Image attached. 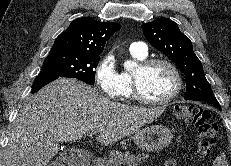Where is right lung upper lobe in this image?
<instances>
[{
    "instance_id": "1",
    "label": "right lung upper lobe",
    "mask_w": 231,
    "mask_h": 166,
    "mask_svg": "<svg viewBox=\"0 0 231 166\" xmlns=\"http://www.w3.org/2000/svg\"><path fill=\"white\" fill-rule=\"evenodd\" d=\"M115 22H100L91 18H78L71 22L55 40L50 52L67 50L100 55L106 41L120 29Z\"/></svg>"
}]
</instances>
